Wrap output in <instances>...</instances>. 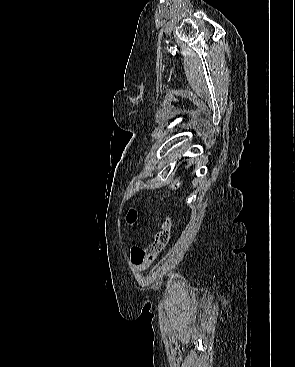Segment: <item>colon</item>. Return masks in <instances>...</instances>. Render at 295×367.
Here are the masks:
<instances>
[{"instance_id":"1","label":"colon","mask_w":295,"mask_h":367,"mask_svg":"<svg viewBox=\"0 0 295 367\" xmlns=\"http://www.w3.org/2000/svg\"><path fill=\"white\" fill-rule=\"evenodd\" d=\"M137 213L130 210L127 215L129 223L136 220ZM172 229V218L166 217L162 228L155 234L153 241L147 248L133 247L131 249V260L136 265L151 264L166 248L170 241Z\"/></svg>"}]
</instances>
